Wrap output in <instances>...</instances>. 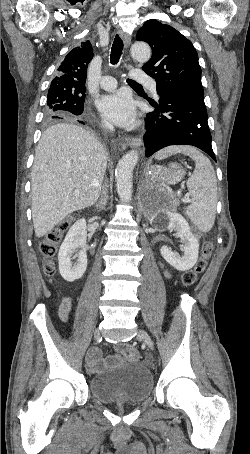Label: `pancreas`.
I'll use <instances>...</instances> for the list:
<instances>
[{
    "label": "pancreas",
    "mask_w": 250,
    "mask_h": 454,
    "mask_svg": "<svg viewBox=\"0 0 250 454\" xmlns=\"http://www.w3.org/2000/svg\"><path fill=\"white\" fill-rule=\"evenodd\" d=\"M166 196L172 201V204L176 207L178 205V201L175 199L173 193L166 192Z\"/></svg>",
    "instance_id": "1"
}]
</instances>
